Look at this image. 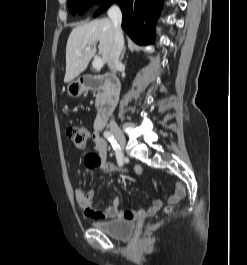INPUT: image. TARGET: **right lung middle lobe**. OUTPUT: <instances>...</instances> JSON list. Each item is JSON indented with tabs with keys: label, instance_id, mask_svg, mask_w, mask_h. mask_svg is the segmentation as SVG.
I'll return each mask as SVG.
<instances>
[{
	"label": "right lung middle lobe",
	"instance_id": "right-lung-middle-lobe-1",
	"mask_svg": "<svg viewBox=\"0 0 247 265\" xmlns=\"http://www.w3.org/2000/svg\"><path fill=\"white\" fill-rule=\"evenodd\" d=\"M107 0H68L70 12L75 14H83L88 8L95 4H104Z\"/></svg>",
	"mask_w": 247,
	"mask_h": 265
}]
</instances>
